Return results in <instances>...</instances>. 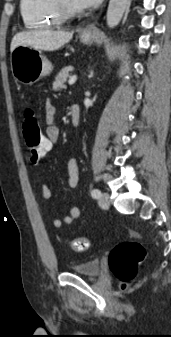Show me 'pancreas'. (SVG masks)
Returning a JSON list of instances; mask_svg holds the SVG:
<instances>
[{
    "instance_id": "cf45deb5",
    "label": "pancreas",
    "mask_w": 171,
    "mask_h": 337,
    "mask_svg": "<svg viewBox=\"0 0 171 337\" xmlns=\"http://www.w3.org/2000/svg\"><path fill=\"white\" fill-rule=\"evenodd\" d=\"M70 67H64L56 76L55 81L53 82V90L60 91L65 88V83L69 77Z\"/></svg>"
}]
</instances>
